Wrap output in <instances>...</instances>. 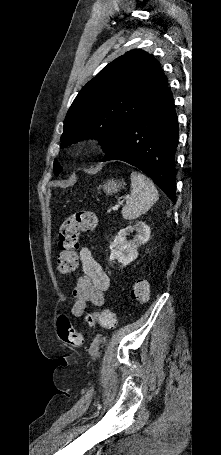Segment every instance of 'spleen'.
I'll list each match as a JSON object with an SVG mask.
<instances>
[{
  "instance_id": "obj_1",
  "label": "spleen",
  "mask_w": 221,
  "mask_h": 455,
  "mask_svg": "<svg viewBox=\"0 0 221 455\" xmlns=\"http://www.w3.org/2000/svg\"><path fill=\"white\" fill-rule=\"evenodd\" d=\"M159 194L153 182L139 172L131 173V196L122 209L125 220H134L147 212L158 200Z\"/></svg>"
}]
</instances>
